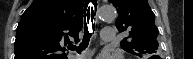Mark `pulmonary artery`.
<instances>
[{
  "instance_id": "pulmonary-artery-1",
  "label": "pulmonary artery",
  "mask_w": 193,
  "mask_h": 59,
  "mask_svg": "<svg viewBox=\"0 0 193 59\" xmlns=\"http://www.w3.org/2000/svg\"><path fill=\"white\" fill-rule=\"evenodd\" d=\"M102 38L104 41H112L114 40V32L112 27H104L102 31Z\"/></svg>"
}]
</instances>
